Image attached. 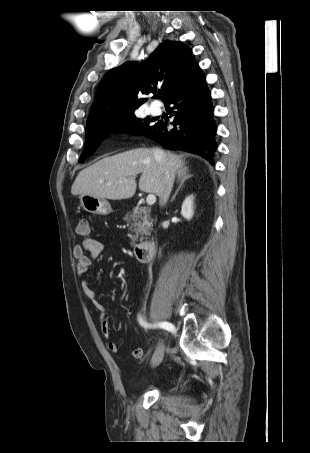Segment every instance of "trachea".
I'll list each match as a JSON object with an SVG mask.
<instances>
[{
	"mask_svg": "<svg viewBox=\"0 0 310 453\" xmlns=\"http://www.w3.org/2000/svg\"><path fill=\"white\" fill-rule=\"evenodd\" d=\"M156 97H157L158 99H160L161 96H160V95H157Z\"/></svg>",
	"mask_w": 310,
	"mask_h": 453,
	"instance_id": "3493384b",
	"label": "trachea"
}]
</instances>
